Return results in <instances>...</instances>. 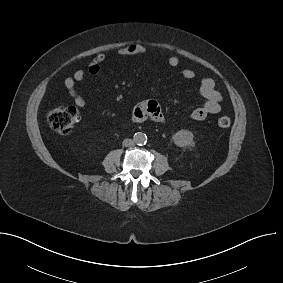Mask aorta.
I'll list each match as a JSON object with an SVG mask.
<instances>
[{
  "instance_id": "obj_1",
  "label": "aorta",
  "mask_w": 283,
  "mask_h": 283,
  "mask_svg": "<svg viewBox=\"0 0 283 283\" xmlns=\"http://www.w3.org/2000/svg\"><path fill=\"white\" fill-rule=\"evenodd\" d=\"M133 140L136 144L142 145L147 142V136L143 132H137L134 134Z\"/></svg>"
}]
</instances>
